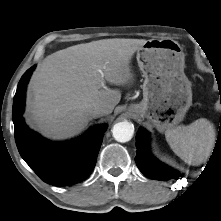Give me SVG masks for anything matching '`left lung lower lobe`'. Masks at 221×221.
<instances>
[{
    "instance_id": "obj_1",
    "label": "left lung lower lobe",
    "mask_w": 221,
    "mask_h": 221,
    "mask_svg": "<svg viewBox=\"0 0 221 221\" xmlns=\"http://www.w3.org/2000/svg\"><path fill=\"white\" fill-rule=\"evenodd\" d=\"M216 143L221 144V134H218ZM136 148V164L148 178L168 181L170 179H178L181 176L179 172L153 157L149 150L148 133L142 128L139 129L136 136Z\"/></svg>"
}]
</instances>
